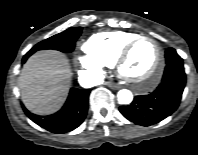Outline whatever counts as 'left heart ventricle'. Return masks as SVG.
<instances>
[{"instance_id": "1", "label": "left heart ventricle", "mask_w": 198, "mask_h": 155, "mask_svg": "<svg viewBox=\"0 0 198 155\" xmlns=\"http://www.w3.org/2000/svg\"><path fill=\"white\" fill-rule=\"evenodd\" d=\"M156 61V48L148 40L140 41L132 49L129 57L123 64V71L134 79H144L152 71Z\"/></svg>"}]
</instances>
